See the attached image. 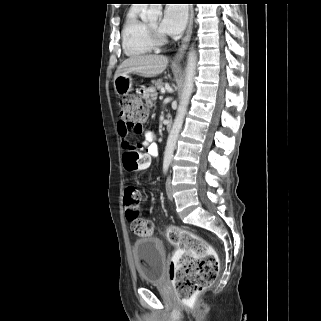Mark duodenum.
I'll use <instances>...</instances> for the list:
<instances>
[{
	"label": "duodenum",
	"mask_w": 321,
	"mask_h": 321,
	"mask_svg": "<svg viewBox=\"0 0 321 321\" xmlns=\"http://www.w3.org/2000/svg\"><path fill=\"white\" fill-rule=\"evenodd\" d=\"M165 127L167 131H170L172 129V119L170 117H167L165 119Z\"/></svg>",
	"instance_id": "410a0bca"
}]
</instances>
